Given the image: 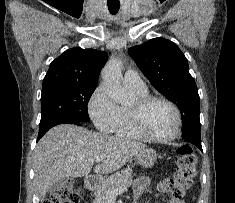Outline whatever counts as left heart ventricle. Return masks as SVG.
I'll use <instances>...</instances> for the list:
<instances>
[{
    "instance_id": "b2bd125f",
    "label": "left heart ventricle",
    "mask_w": 235,
    "mask_h": 203,
    "mask_svg": "<svg viewBox=\"0 0 235 203\" xmlns=\"http://www.w3.org/2000/svg\"><path fill=\"white\" fill-rule=\"evenodd\" d=\"M136 100L129 106H134ZM142 122L145 129L157 137H167L173 134L176 127L174 111L163 102H153L142 111Z\"/></svg>"
}]
</instances>
